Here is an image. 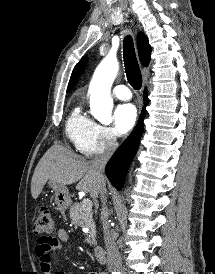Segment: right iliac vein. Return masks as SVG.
Masks as SVG:
<instances>
[{
    "mask_svg": "<svg viewBox=\"0 0 215 274\" xmlns=\"http://www.w3.org/2000/svg\"><path fill=\"white\" fill-rule=\"evenodd\" d=\"M121 274H127V273H125V272H122Z\"/></svg>",
    "mask_w": 215,
    "mask_h": 274,
    "instance_id": "63e3f726",
    "label": "right iliac vein"
}]
</instances>
